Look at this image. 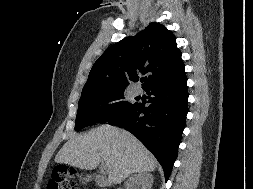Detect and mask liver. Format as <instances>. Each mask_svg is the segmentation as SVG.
<instances>
[{"instance_id": "liver-1", "label": "liver", "mask_w": 253, "mask_h": 189, "mask_svg": "<svg viewBox=\"0 0 253 189\" xmlns=\"http://www.w3.org/2000/svg\"><path fill=\"white\" fill-rule=\"evenodd\" d=\"M55 162L88 170L95 169L101 162L113 184L121 183L132 173L154 171L157 164L137 138L109 125L71 137L56 155Z\"/></svg>"}]
</instances>
